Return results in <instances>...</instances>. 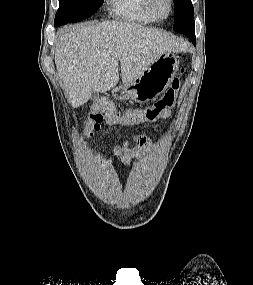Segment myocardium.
Listing matches in <instances>:
<instances>
[{"mask_svg": "<svg viewBox=\"0 0 253 285\" xmlns=\"http://www.w3.org/2000/svg\"><path fill=\"white\" fill-rule=\"evenodd\" d=\"M146 1V10L147 12L149 13V15L155 20V21H163V20H166L167 18H169V16L172 14L173 12V0H167L168 2V5H169V10H168V13L163 16V17H160L158 16L155 11H154V8H153V3H154V0H145Z\"/></svg>", "mask_w": 253, "mask_h": 285, "instance_id": "f54148a6", "label": "myocardium"}]
</instances>
